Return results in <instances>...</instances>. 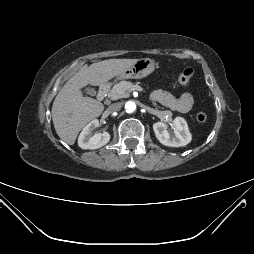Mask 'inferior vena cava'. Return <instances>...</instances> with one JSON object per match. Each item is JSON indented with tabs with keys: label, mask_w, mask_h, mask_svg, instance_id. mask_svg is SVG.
Masks as SVG:
<instances>
[{
	"label": "inferior vena cava",
	"mask_w": 254,
	"mask_h": 254,
	"mask_svg": "<svg viewBox=\"0 0 254 254\" xmlns=\"http://www.w3.org/2000/svg\"><path fill=\"white\" fill-rule=\"evenodd\" d=\"M122 105L121 103H113L107 108L108 113H114L121 109Z\"/></svg>",
	"instance_id": "1"
}]
</instances>
